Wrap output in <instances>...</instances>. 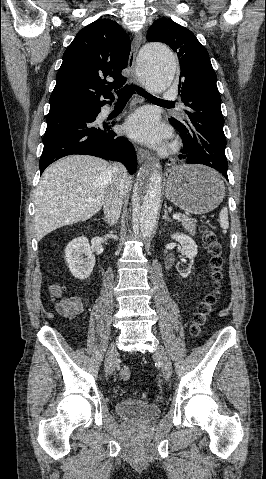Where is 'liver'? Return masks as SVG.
<instances>
[{
    "label": "liver",
    "mask_w": 266,
    "mask_h": 479,
    "mask_svg": "<svg viewBox=\"0 0 266 479\" xmlns=\"http://www.w3.org/2000/svg\"><path fill=\"white\" fill-rule=\"evenodd\" d=\"M111 177V165L89 155L68 156L50 165L44 171L35 194L37 240L98 213L104 205ZM131 184L129 177L126 194ZM89 198L93 201L87 202Z\"/></svg>",
    "instance_id": "6515ba94"
}]
</instances>
